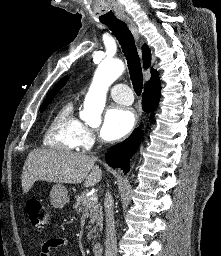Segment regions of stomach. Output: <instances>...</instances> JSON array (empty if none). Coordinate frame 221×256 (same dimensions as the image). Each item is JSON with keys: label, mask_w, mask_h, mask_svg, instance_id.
<instances>
[{"label": "stomach", "mask_w": 221, "mask_h": 256, "mask_svg": "<svg viewBox=\"0 0 221 256\" xmlns=\"http://www.w3.org/2000/svg\"><path fill=\"white\" fill-rule=\"evenodd\" d=\"M51 204L55 208H63L64 205L69 203L68 191L62 184H56L52 186L50 192Z\"/></svg>", "instance_id": "1"}]
</instances>
